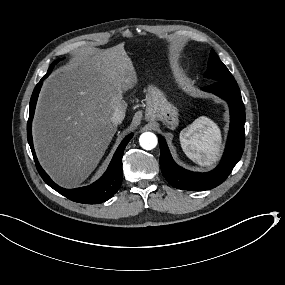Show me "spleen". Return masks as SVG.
Instances as JSON below:
<instances>
[{
    "mask_svg": "<svg viewBox=\"0 0 285 285\" xmlns=\"http://www.w3.org/2000/svg\"><path fill=\"white\" fill-rule=\"evenodd\" d=\"M219 142L218 128L204 117L195 119L181 132V143L186 155L203 165L216 158Z\"/></svg>",
    "mask_w": 285,
    "mask_h": 285,
    "instance_id": "spleen-1",
    "label": "spleen"
}]
</instances>
